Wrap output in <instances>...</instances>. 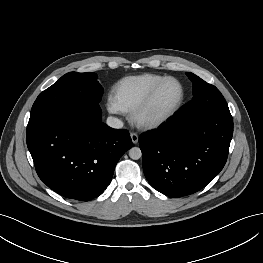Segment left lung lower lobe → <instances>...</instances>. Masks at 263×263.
<instances>
[{
  "label": "left lung lower lobe",
  "mask_w": 263,
  "mask_h": 263,
  "mask_svg": "<svg viewBox=\"0 0 263 263\" xmlns=\"http://www.w3.org/2000/svg\"><path fill=\"white\" fill-rule=\"evenodd\" d=\"M233 135L230 113L183 123L176 113L158 129L139 138L148 182L170 197L193 194L223 169Z\"/></svg>",
  "instance_id": "obj_1"
}]
</instances>
